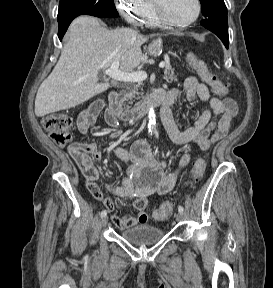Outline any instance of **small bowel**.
I'll return each mask as SVG.
<instances>
[{
	"instance_id": "obj_1",
	"label": "small bowel",
	"mask_w": 273,
	"mask_h": 288,
	"mask_svg": "<svg viewBox=\"0 0 273 288\" xmlns=\"http://www.w3.org/2000/svg\"><path fill=\"white\" fill-rule=\"evenodd\" d=\"M186 98L189 101L199 98L207 104L192 127L180 130L172 115L164 123L170 139L179 145L195 142L202 150H207L214 142L224 138L232 129L238 107L231 98H219L211 96L208 87L199 82L196 77H188L182 86ZM181 90L174 88L167 92L174 102ZM103 104L96 102L84 109L77 117L76 127L79 133L86 134L94 124ZM109 124L115 127L113 137L121 135L118 121L111 120L106 115ZM68 152L74 159L85 177L88 190L105 207L113 211L114 203L110 198L104 197L99 186V172L96 167L101 159L102 151L95 142L73 143ZM113 155L127 163L125 177L120 186L107 185V189L119 197L133 199V208L137 210L136 216L113 215V223L120 229L145 224L148 215L145 211L147 198L151 195H164L170 192L177 181L178 170L165 172L164 166L156 161L145 141L134 142L128 148L117 147ZM189 155L184 154L179 162V168L186 166Z\"/></svg>"
}]
</instances>
